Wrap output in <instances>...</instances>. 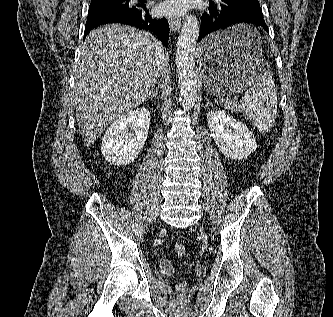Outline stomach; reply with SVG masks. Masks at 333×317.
Segmentation results:
<instances>
[{"label":"stomach","mask_w":333,"mask_h":317,"mask_svg":"<svg viewBox=\"0 0 333 317\" xmlns=\"http://www.w3.org/2000/svg\"><path fill=\"white\" fill-rule=\"evenodd\" d=\"M256 40V41H253ZM261 39L254 24H229L206 33L199 49L202 78L199 88L213 96H230L247 89L266 74Z\"/></svg>","instance_id":"stomach-1"}]
</instances>
